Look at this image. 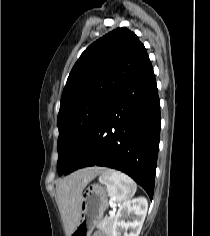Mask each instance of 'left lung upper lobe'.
I'll use <instances>...</instances> for the list:
<instances>
[{
  "label": "left lung upper lobe",
  "mask_w": 210,
  "mask_h": 236,
  "mask_svg": "<svg viewBox=\"0 0 210 236\" xmlns=\"http://www.w3.org/2000/svg\"><path fill=\"white\" fill-rule=\"evenodd\" d=\"M149 62L144 45L126 28L113 30L82 53L61 97L59 175L71 164L102 113Z\"/></svg>",
  "instance_id": "obj_1"
}]
</instances>
